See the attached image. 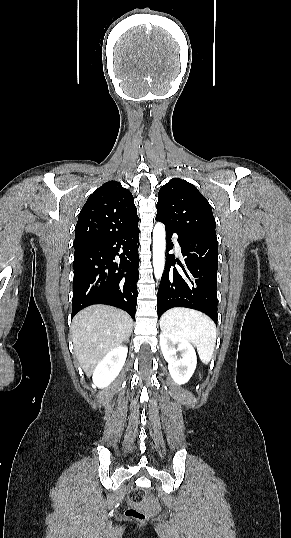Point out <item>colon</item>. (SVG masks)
Segmentation results:
<instances>
[{"label":"colon","instance_id":"colon-1","mask_svg":"<svg viewBox=\"0 0 291 538\" xmlns=\"http://www.w3.org/2000/svg\"><path fill=\"white\" fill-rule=\"evenodd\" d=\"M144 498H145L144 491L141 490V489H138V488L132 489L128 494V500L132 504H138V503L142 502L144 500ZM126 515L128 517H131V518H134V519H137V520H140V521H145V520L149 519L150 516H151L149 511L138 509V508H135V507L129 508L126 511Z\"/></svg>","mask_w":291,"mask_h":538}]
</instances>
